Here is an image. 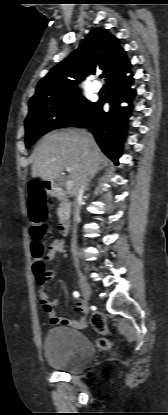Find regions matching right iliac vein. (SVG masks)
Here are the masks:
<instances>
[{"instance_id":"1","label":"right iliac vein","mask_w":168,"mask_h":415,"mask_svg":"<svg viewBox=\"0 0 168 415\" xmlns=\"http://www.w3.org/2000/svg\"><path fill=\"white\" fill-rule=\"evenodd\" d=\"M79 282L83 296L86 302H88L91 298L92 291L89 283L87 282L86 278L83 276L82 273H79Z\"/></svg>"}]
</instances>
